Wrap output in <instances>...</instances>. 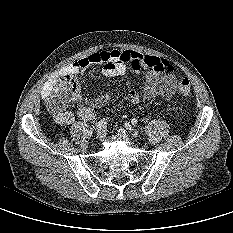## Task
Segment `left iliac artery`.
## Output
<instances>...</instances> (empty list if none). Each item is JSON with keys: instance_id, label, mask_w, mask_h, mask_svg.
Masks as SVG:
<instances>
[{"instance_id": "obj_1", "label": "left iliac artery", "mask_w": 233, "mask_h": 233, "mask_svg": "<svg viewBox=\"0 0 233 233\" xmlns=\"http://www.w3.org/2000/svg\"><path fill=\"white\" fill-rule=\"evenodd\" d=\"M131 124L134 125V126H136L138 124L137 119H132L131 120Z\"/></svg>"}]
</instances>
